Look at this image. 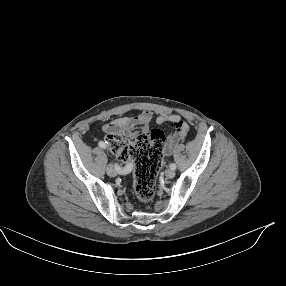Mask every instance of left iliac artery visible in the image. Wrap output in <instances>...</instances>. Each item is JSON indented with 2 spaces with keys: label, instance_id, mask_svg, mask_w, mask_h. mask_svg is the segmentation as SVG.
Here are the masks:
<instances>
[{
  "label": "left iliac artery",
  "instance_id": "1",
  "mask_svg": "<svg viewBox=\"0 0 286 286\" xmlns=\"http://www.w3.org/2000/svg\"><path fill=\"white\" fill-rule=\"evenodd\" d=\"M170 168H171L172 170H175V169H176V164H174V163L170 164Z\"/></svg>",
  "mask_w": 286,
  "mask_h": 286
}]
</instances>
